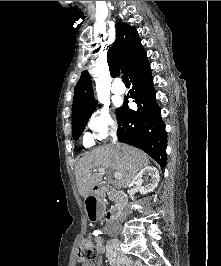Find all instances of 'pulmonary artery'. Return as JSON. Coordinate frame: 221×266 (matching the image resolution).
<instances>
[{
	"instance_id": "e3ab8cb5",
	"label": "pulmonary artery",
	"mask_w": 221,
	"mask_h": 266,
	"mask_svg": "<svg viewBox=\"0 0 221 266\" xmlns=\"http://www.w3.org/2000/svg\"><path fill=\"white\" fill-rule=\"evenodd\" d=\"M112 92L116 95H122L125 93V87L122 84L115 82L112 86Z\"/></svg>"
}]
</instances>
